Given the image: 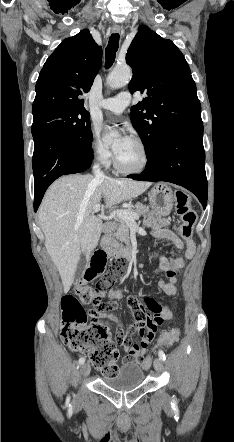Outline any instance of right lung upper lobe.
<instances>
[{
    "mask_svg": "<svg viewBox=\"0 0 234 442\" xmlns=\"http://www.w3.org/2000/svg\"><path fill=\"white\" fill-rule=\"evenodd\" d=\"M101 59L102 48L89 30L63 40L39 74L33 116L56 109L84 108L81 95L90 90Z\"/></svg>",
    "mask_w": 234,
    "mask_h": 442,
    "instance_id": "cb5924a9",
    "label": "right lung upper lobe"
}]
</instances>
